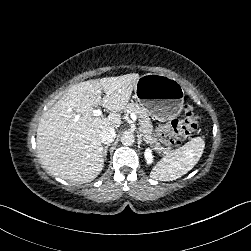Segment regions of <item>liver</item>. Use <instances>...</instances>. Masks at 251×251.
Returning <instances> with one entry per match:
<instances>
[{
    "instance_id": "obj_1",
    "label": "liver",
    "mask_w": 251,
    "mask_h": 251,
    "mask_svg": "<svg viewBox=\"0 0 251 251\" xmlns=\"http://www.w3.org/2000/svg\"><path fill=\"white\" fill-rule=\"evenodd\" d=\"M138 78L137 73H131L75 84L44 113L38 124L36 148L50 173L80 184L99 175L104 162L99 134L104 128L117 126L119 116L99 118L91 112L98 105L121 111Z\"/></svg>"
}]
</instances>
